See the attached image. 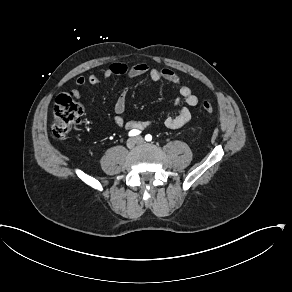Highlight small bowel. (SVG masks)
Returning <instances> with one entry per match:
<instances>
[{"mask_svg": "<svg viewBox=\"0 0 292 292\" xmlns=\"http://www.w3.org/2000/svg\"><path fill=\"white\" fill-rule=\"evenodd\" d=\"M113 75H124L130 78L147 75L153 81L165 80L178 87L180 98L175 102V105L179 107L178 113L174 116H169L165 120V126L170 129H177L186 125L191 119L190 108L194 107L198 103V97L193 93L192 89L183 84L180 77L172 70L167 68H153L145 63H139L135 65H127L122 62H114L108 68H106L101 75L90 74L87 77L80 76L76 79L75 83L78 87H83L87 84L99 85L112 77ZM71 93L74 96H78L81 99V95L76 90H72ZM129 93V88L126 86L122 88L119 96L114 105V124L119 128L126 129H144L147 128L151 121H125L122 117L126 110V102ZM181 100L184 101L185 106H180Z\"/></svg>", "mask_w": 292, "mask_h": 292, "instance_id": "small-bowel-1", "label": "small bowel"}]
</instances>
